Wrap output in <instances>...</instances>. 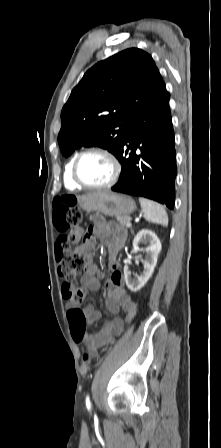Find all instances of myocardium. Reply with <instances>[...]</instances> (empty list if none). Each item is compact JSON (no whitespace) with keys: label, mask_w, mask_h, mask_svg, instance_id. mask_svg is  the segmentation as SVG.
Returning a JSON list of instances; mask_svg holds the SVG:
<instances>
[{"label":"myocardium","mask_w":221,"mask_h":448,"mask_svg":"<svg viewBox=\"0 0 221 448\" xmlns=\"http://www.w3.org/2000/svg\"><path fill=\"white\" fill-rule=\"evenodd\" d=\"M93 153H98V154L104 155L111 163L113 175H112L111 179L104 184H100V185L88 184L85 181H83L79 175V166H80L81 161L86 156L93 154ZM120 175H121V164H120V161L118 160V158L108 149L99 148V147L90 148V149H87V150L81 152L80 154H78V156L76 157V159L73 162L72 170H71V176H72L73 181L77 185H79L83 188H86V189L110 188L117 183V181L120 178Z\"/></svg>","instance_id":"obj_1"}]
</instances>
